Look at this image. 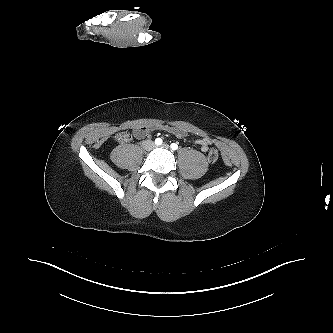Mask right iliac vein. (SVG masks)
I'll use <instances>...</instances> for the list:
<instances>
[{"mask_svg": "<svg viewBox=\"0 0 333 333\" xmlns=\"http://www.w3.org/2000/svg\"><path fill=\"white\" fill-rule=\"evenodd\" d=\"M153 147H154V144L151 141L148 140V141L143 142V148L146 151H150Z\"/></svg>", "mask_w": 333, "mask_h": 333, "instance_id": "obj_1", "label": "right iliac vein"}]
</instances>
